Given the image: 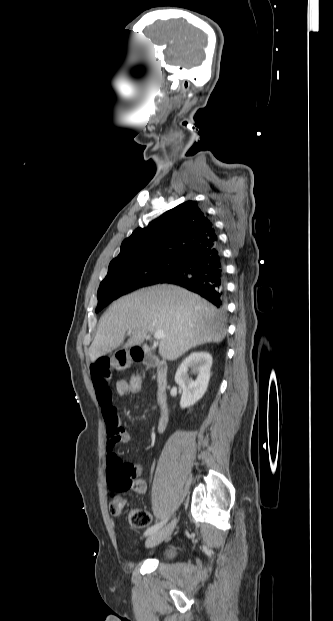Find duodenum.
I'll list each match as a JSON object with an SVG mask.
<instances>
[{
	"label": "duodenum",
	"mask_w": 333,
	"mask_h": 621,
	"mask_svg": "<svg viewBox=\"0 0 333 621\" xmlns=\"http://www.w3.org/2000/svg\"><path fill=\"white\" fill-rule=\"evenodd\" d=\"M131 357L134 361L140 362L148 367L156 368V383H157V402L160 409V417L157 424V430L162 432L165 430L168 423V403H167V365L164 361H160L153 355H150L140 348L134 347L131 350Z\"/></svg>",
	"instance_id": "duodenum-1"
}]
</instances>
